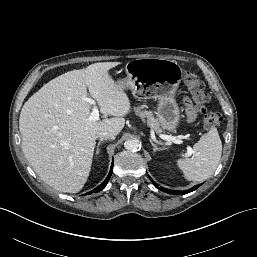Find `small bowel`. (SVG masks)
<instances>
[{
    "label": "small bowel",
    "instance_id": "obj_1",
    "mask_svg": "<svg viewBox=\"0 0 257 257\" xmlns=\"http://www.w3.org/2000/svg\"><path fill=\"white\" fill-rule=\"evenodd\" d=\"M186 113L189 121H192L196 116V111L189 101H185Z\"/></svg>",
    "mask_w": 257,
    "mask_h": 257
}]
</instances>
